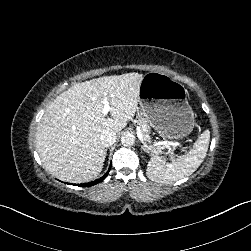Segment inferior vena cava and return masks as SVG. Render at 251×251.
Masks as SVG:
<instances>
[{
    "instance_id": "1",
    "label": "inferior vena cava",
    "mask_w": 251,
    "mask_h": 251,
    "mask_svg": "<svg viewBox=\"0 0 251 251\" xmlns=\"http://www.w3.org/2000/svg\"><path fill=\"white\" fill-rule=\"evenodd\" d=\"M116 140V132L109 130V129H105L101 132L100 135V141H101V145L103 147H109L111 146Z\"/></svg>"
}]
</instances>
